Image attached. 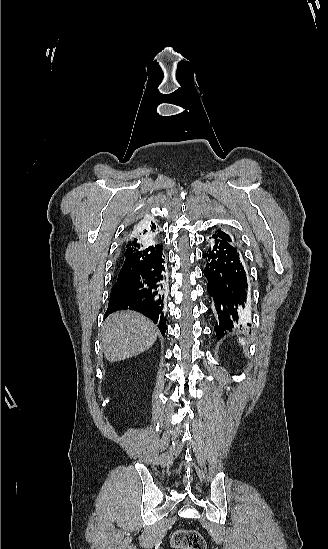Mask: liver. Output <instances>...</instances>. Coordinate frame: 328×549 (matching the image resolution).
<instances>
[{
  "instance_id": "obj_1",
  "label": "liver",
  "mask_w": 328,
  "mask_h": 549,
  "mask_svg": "<svg viewBox=\"0 0 328 549\" xmlns=\"http://www.w3.org/2000/svg\"><path fill=\"white\" fill-rule=\"evenodd\" d=\"M101 339L107 361H124L144 353L154 345L157 339L156 325L135 311H117L106 319Z\"/></svg>"
}]
</instances>
